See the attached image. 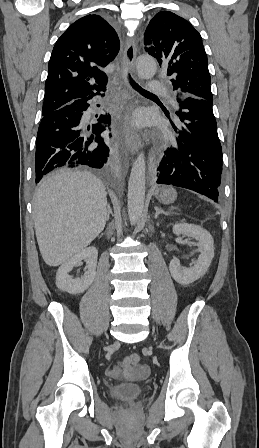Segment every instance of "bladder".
Wrapping results in <instances>:
<instances>
[{
  "instance_id": "1",
  "label": "bladder",
  "mask_w": 259,
  "mask_h": 448,
  "mask_svg": "<svg viewBox=\"0 0 259 448\" xmlns=\"http://www.w3.org/2000/svg\"><path fill=\"white\" fill-rule=\"evenodd\" d=\"M144 387L140 384H115L109 387L111 397L118 400L135 399L142 395Z\"/></svg>"
}]
</instances>
